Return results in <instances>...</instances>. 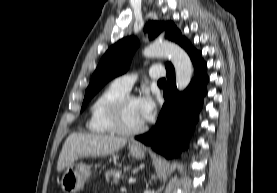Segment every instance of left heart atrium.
Segmentation results:
<instances>
[{
	"label": "left heart atrium",
	"instance_id": "left-heart-atrium-1",
	"mask_svg": "<svg viewBox=\"0 0 277 193\" xmlns=\"http://www.w3.org/2000/svg\"><path fill=\"white\" fill-rule=\"evenodd\" d=\"M136 107L143 122L153 118L155 114V102L149 93L144 92L135 99Z\"/></svg>",
	"mask_w": 277,
	"mask_h": 193
}]
</instances>
